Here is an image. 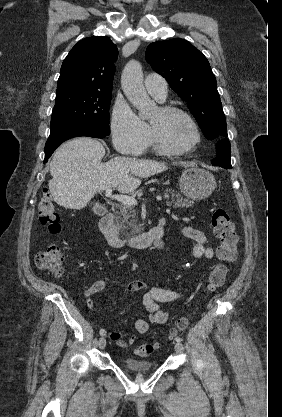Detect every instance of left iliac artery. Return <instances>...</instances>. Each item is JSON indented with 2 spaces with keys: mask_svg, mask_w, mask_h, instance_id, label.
<instances>
[{
  "mask_svg": "<svg viewBox=\"0 0 282 417\" xmlns=\"http://www.w3.org/2000/svg\"><path fill=\"white\" fill-rule=\"evenodd\" d=\"M175 340H176V342H181L182 341V339L180 337H176Z\"/></svg>",
  "mask_w": 282,
  "mask_h": 417,
  "instance_id": "44dca946",
  "label": "left iliac artery"
}]
</instances>
